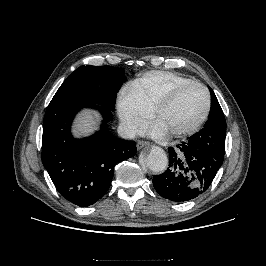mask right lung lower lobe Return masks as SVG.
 <instances>
[{
  "label": "right lung lower lobe",
  "mask_w": 266,
  "mask_h": 266,
  "mask_svg": "<svg viewBox=\"0 0 266 266\" xmlns=\"http://www.w3.org/2000/svg\"><path fill=\"white\" fill-rule=\"evenodd\" d=\"M84 107L98 109L104 118L95 135L78 140L70 132L74 115ZM112 111L97 104L52 100L43 121L42 162L57 191L71 203L86 207L109 189L114 166L134 156L136 143L114 137L106 128Z\"/></svg>",
  "instance_id": "98d812e1"
}]
</instances>
